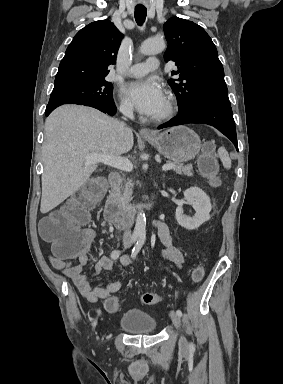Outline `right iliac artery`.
<instances>
[{
	"label": "right iliac artery",
	"mask_w": 283,
	"mask_h": 384,
	"mask_svg": "<svg viewBox=\"0 0 283 384\" xmlns=\"http://www.w3.org/2000/svg\"><path fill=\"white\" fill-rule=\"evenodd\" d=\"M137 238H138V236H133L132 239H131V242L134 243V242L137 240ZM120 254H121V251H119V250H114V251H112V253H111V258L114 259V260H115V259H118L119 256H120ZM96 324H97V321L95 320L94 323H93V327H95Z\"/></svg>",
	"instance_id": "obj_1"
}]
</instances>
